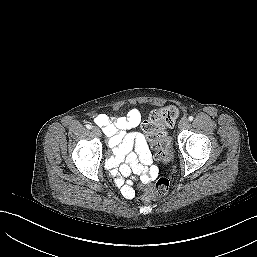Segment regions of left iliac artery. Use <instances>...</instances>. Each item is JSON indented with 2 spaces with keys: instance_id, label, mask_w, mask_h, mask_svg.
<instances>
[{
  "instance_id": "1",
  "label": "left iliac artery",
  "mask_w": 257,
  "mask_h": 257,
  "mask_svg": "<svg viewBox=\"0 0 257 257\" xmlns=\"http://www.w3.org/2000/svg\"><path fill=\"white\" fill-rule=\"evenodd\" d=\"M193 119H194L193 116H189V117H188V120H189V121H192Z\"/></svg>"
}]
</instances>
